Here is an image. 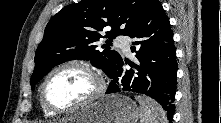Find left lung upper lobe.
<instances>
[{"label":"left lung upper lobe","instance_id":"1","mask_svg":"<svg viewBox=\"0 0 221 123\" xmlns=\"http://www.w3.org/2000/svg\"><path fill=\"white\" fill-rule=\"evenodd\" d=\"M155 1L82 0L61 9L47 24L37 48L32 90L54 66L69 60H90L109 77L121 56L108 44L117 35L129 36ZM107 26L111 30L103 36L101 31ZM104 37L109 40L100 46L98 41Z\"/></svg>","mask_w":221,"mask_h":123}]
</instances>
